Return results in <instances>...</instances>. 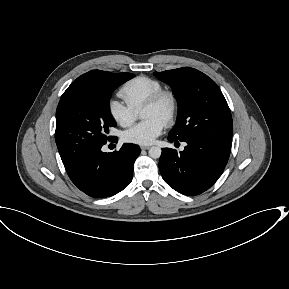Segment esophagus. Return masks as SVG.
Returning <instances> with one entry per match:
<instances>
[{"label": "esophagus", "mask_w": 289, "mask_h": 289, "mask_svg": "<svg viewBox=\"0 0 289 289\" xmlns=\"http://www.w3.org/2000/svg\"><path fill=\"white\" fill-rule=\"evenodd\" d=\"M142 150H148L150 148V146H141L140 147Z\"/></svg>", "instance_id": "34e87169"}]
</instances>
